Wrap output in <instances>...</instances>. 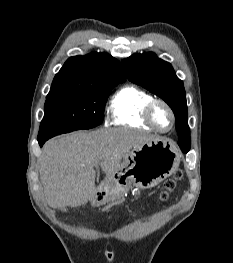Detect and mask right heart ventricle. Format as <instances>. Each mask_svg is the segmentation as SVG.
<instances>
[{"label": "right heart ventricle", "mask_w": 233, "mask_h": 263, "mask_svg": "<svg viewBox=\"0 0 233 263\" xmlns=\"http://www.w3.org/2000/svg\"><path fill=\"white\" fill-rule=\"evenodd\" d=\"M152 99V95L143 89L133 85L123 86L110 101L111 124L152 131L153 128L143 117L145 105Z\"/></svg>", "instance_id": "1"}]
</instances>
